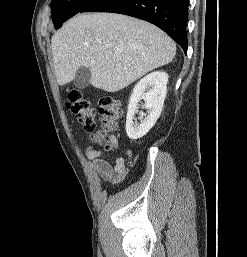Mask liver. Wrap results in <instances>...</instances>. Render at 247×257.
I'll use <instances>...</instances> for the list:
<instances>
[{
  "label": "liver",
  "mask_w": 247,
  "mask_h": 257,
  "mask_svg": "<svg viewBox=\"0 0 247 257\" xmlns=\"http://www.w3.org/2000/svg\"><path fill=\"white\" fill-rule=\"evenodd\" d=\"M51 48L58 85L70 83L86 67L91 85L107 92L127 87L176 55V44L161 29L116 13L71 18L53 35Z\"/></svg>",
  "instance_id": "liver-1"
}]
</instances>
